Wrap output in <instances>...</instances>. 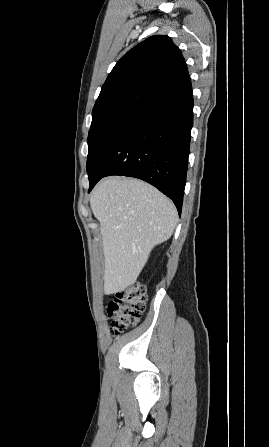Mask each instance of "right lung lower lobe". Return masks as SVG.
<instances>
[{
  "instance_id": "obj_1",
  "label": "right lung lower lobe",
  "mask_w": 269,
  "mask_h": 447,
  "mask_svg": "<svg viewBox=\"0 0 269 447\" xmlns=\"http://www.w3.org/2000/svg\"><path fill=\"white\" fill-rule=\"evenodd\" d=\"M193 105L188 74L129 116L94 160L88 192L105 176L136 177L171 198L180 215Z\"/></svg>"
}]
</instances>
